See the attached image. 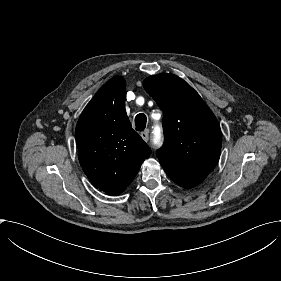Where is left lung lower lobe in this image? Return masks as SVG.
<instances>
[{
	"label": "left lung lower lobe",
	"mask_w": 281,
	"mask_h": 281,
	"mask_svg": "<svg viewBox=\"0 0 281 281\" xmlns=\"http://www.w3.org/2000/svg\"><path fill=\"white\" fill-rule=\"evenodd\" d=\"M169 176L176 184L184 188H192L201 183L208 174L206 173H189L176 170L167 165H161Z\"/></svg>",
	"instance_id": "0a47b994"
}]
</instances>
